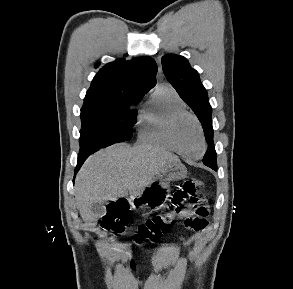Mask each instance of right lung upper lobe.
Instances as JSON below:
<instances>
[{"label": "right lung upper lobe", "instance_id": "1", "mask_svg": "<svg viewBox=\"0 0 293 289\" xmlns=\"http://www.w3.org/2000/svg\"><path fill=\"white\" fill-rule=\"evenodd\" d=\"M157 65L150 57L118 59L103 66L92 80L84 104L142 98L156 84Z\"/></svg>", "mask_w": 293, "mask_h": 289}]
</instances>
